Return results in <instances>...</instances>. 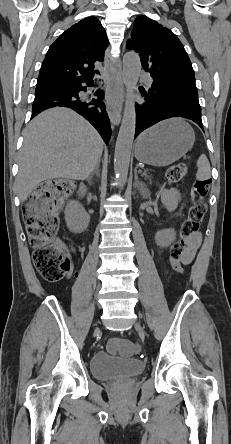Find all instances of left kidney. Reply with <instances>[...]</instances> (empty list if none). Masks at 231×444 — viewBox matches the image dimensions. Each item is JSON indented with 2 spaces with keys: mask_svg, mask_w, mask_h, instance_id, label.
I'll use <instances>...</instances> for the list:
<instances>
[{
  "mask_svg": "<svg viewBox=\"0 0 231 444\" xmlns=\"http://www.w3.org/2000/svg\"><path fill=\"white\" fill-rule=\"evenodd\" d=\"M176 239V233L174 229L160 230L155 235V240L158 246L161 248L169 246Z\"/></svg>",
  "mask_w": 231,
  "mask_h": 444,
  "instance_id": "5707ae66",
  "label": "left kidney"
}]
</instances>
